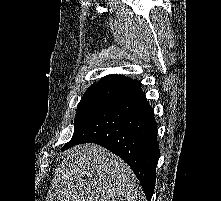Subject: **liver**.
Returning <instances> with one entry per match:
<instances>
[{"instance_id": "liver-1", "label": "liver", "mask_w": 221, "mask_h": 201, "mask_svg": "<svg viewBox=\"0 0 221 201\" xmlns=\"http://www.w3.org/2000/svg\"><path fill=\"white\" fill-rule=\"evenodd\" d=\"M139 190L126 162L99 145L83 144L63 152L48 201H137Z\"/></svg>"}]
</instances>
